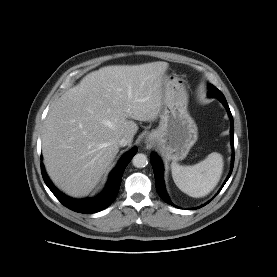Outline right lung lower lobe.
Here are the masks:
<instances>
[{"label":"right lung lower lobe","instance_id":"obj_1","mask_svg":"<svg viewBox=\"0 0 277 277\" xmlns=\"http://www.w3.org/2000/svg\"><path fill=\"white\" fill-rule=\"evenodd\" d=\"M136 152L137 148L134 147L120 159L117 166L110 173L105 189L95 198L73 199L64 195L52 184L45 172L43 164L41 163L42 177L45 184L55 195V197L70 210L84 214L99 212L109 207L115 200L120 188L123 172Z\"/></svg>","mask_w":277,"mask_h":277}]
</instances>
